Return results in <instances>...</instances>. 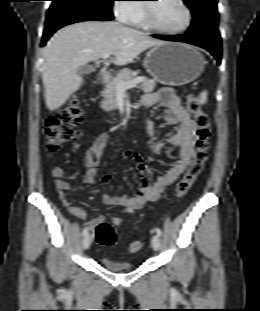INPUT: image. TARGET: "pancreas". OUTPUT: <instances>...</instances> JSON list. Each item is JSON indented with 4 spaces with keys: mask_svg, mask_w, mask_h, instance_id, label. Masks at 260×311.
<instances>
[{
    "mask_svg": "<svg viewBox=\"0 0 260 311\" xmlns=\"http://www.w3.org/2000/svg\"><path fill=\"white\" fill-rule=\"evenodd\" d=\"M134 72L130 69H124L120 71L116 77H113L109 79L106 82L105 88L102 92L103 101L101 102V108L104 111H112L116 108H118L117 103V94H118V88L117 85L120 81L127 82L133 79ZM155 81L152 79H144V81L141 83V88L143 92L149 93L152 92L155 88Z\"/></svg>",
    "mask_w": 260,
    "mask_h": 311,
    "instance_id": "pancreas-1",
    "label": "pancreas"
}]
</instances>
